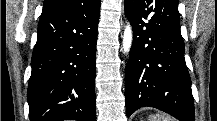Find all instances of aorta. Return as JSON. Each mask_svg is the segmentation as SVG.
Returning <instances> with one entry per match:
<instances>
[{"label": "aorta", "instance_id": "1", "mask_svg": "<svg viewBox=\"0 0 217 121\" xmlns=\"http://www.w3.org/2000/svg\"><path fill=\"white\" fill-rule=\"evenodd\" d=\"M132 39H133L132 28L130 24L128 23L125 27L124 35H123L124 53H128L130 51V48L132 46Z\"/></svg>", "mask_w": 217, "mask_h": 121}]
</instances>
